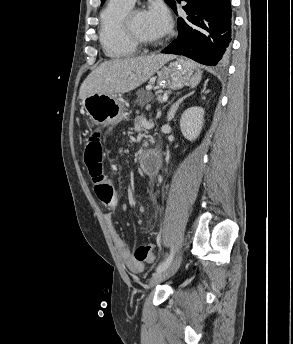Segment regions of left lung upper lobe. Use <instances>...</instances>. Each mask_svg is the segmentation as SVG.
Here are the masks:
<instances>
[{
	"mask_svg": "<svg viewBox=\"0 0 293 344\" xmlns=\"http://www.w3.org/2000/svg\"><path fill=\"white\" fill-rule=\"evenodd\" d=\"M165 2L172 8L175 4V0H165ZM104 3V0H101V4Z\"/></svg>",
	"mask_w": 293,
	"mask_h": 344,
	"instance_id": "5c2ea615",
	"label": "left lung upper lobe"
}]
</instances>
